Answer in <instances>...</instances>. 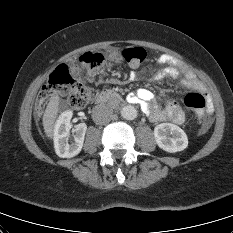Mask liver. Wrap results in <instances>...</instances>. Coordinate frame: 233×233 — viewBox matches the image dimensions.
I'll use <instances>...</instances> for the list:
<instances>
[{
    "mask_svg": "<svg viewBox=\"0 0 233 233\" xmlns=\"http://www.w3.org/2000/svg\"><path fill=\"white\" fill-rule=\"evenodd\" d=\"M59 101L58 95L51 97L43 115L44 132L48 138L54 136L55 121L59 113Z\"/></svg>",
    "mask_w": 233,
    "mask_h": 233,
    "instance_id": "liver-1",
    "label": "liver"
}]
</instances>
